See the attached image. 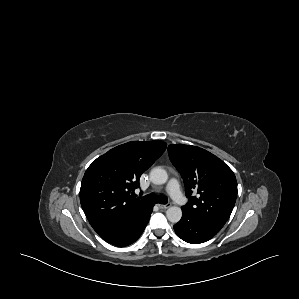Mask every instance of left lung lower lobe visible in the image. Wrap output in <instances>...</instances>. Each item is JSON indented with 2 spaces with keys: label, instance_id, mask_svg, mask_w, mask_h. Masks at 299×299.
<instances>
[{
  "label": "left lung lower lobe",
  "instance_id": "0a47b994",
  "mask_svg": "<svg viewBox=\"0 0 299 299\" xmlns=\"http://www.w3.org/2000/svg\"><path fill=\"white\" fill-rule=\"evenodd\" d=\"M174 230L178 237L191 244L206 242L219 232L207 222L184 211L181 220L174 225Z\"/></svg>",
  "mask_w": 299,
  "mask_h": 299
}]
</instances>
